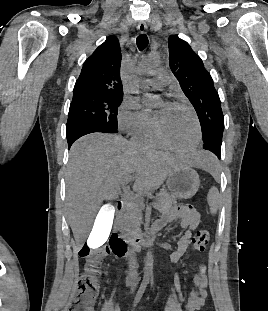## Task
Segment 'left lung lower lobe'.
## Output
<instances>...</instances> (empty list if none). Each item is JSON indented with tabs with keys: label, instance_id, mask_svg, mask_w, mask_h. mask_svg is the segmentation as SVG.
Here are the masks:
<instances>
[{
	"label": "left lung lower lobe",
	"instance_id": "1",
	"mask_svg": "<svg viewBox=\"0 0 268 311\" xmlns=\"http://www.w3.org/2000/svg\"><path fill=\"white\" fill-rule=\"evenodd\" d=\"M221 144L216 142L204 143L203 148L214 153L219 159L221 158Z\"/></svg>",
	"mask_w": 268,
	"mask_h": 311
}]
</instances>
